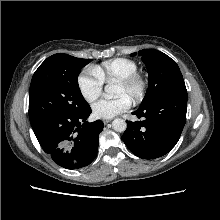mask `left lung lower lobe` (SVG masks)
Wrapping results in <instances>:
<instances>
[{
	"label": "left lung lower lobe",
	"mask_w": 220,
	"mask_h": 220,
	"mask_svg": "<svg viewBox=\"0 0 220 220\" xmlns=\"http://www.w3.org/2000/svg\"><path fill=\"white\" fill-rule=\"evenodd\" d=\"M187 92L161 97L133 114L143 121H127L122 139L129 150L143 159L167 154L178 142L186 122Z\"/></svg>",
	"instance_id": "0a47b994"
}]
</instances>
